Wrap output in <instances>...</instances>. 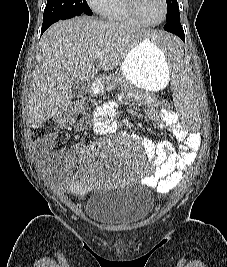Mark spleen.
Here are the masks:
<instances>
[{
	"label": "spleen",
	"instance_id": "obj_1",
	"mask_svg": "<svg viewBox=\"0 0 227 267\" xmlns=\"http://www.w3.org/2000/svg\"><path fill=\"white\" fill-rule=\"evenodd\" d=\"M151 41L160 47L162 55H166L171 77V87H174V98H184V100H174V105H199V100H195L192 90V76H189V63H183V55H186L185 46H181L176 36L172 33H155L151 36ZM177 115H200L199 106H175ZM201 116H179V125L182 129H203L200 124Z\"/></svg>",
	"mask_w": 227,
	"mask_h": 267
}]
</instances>
